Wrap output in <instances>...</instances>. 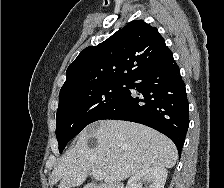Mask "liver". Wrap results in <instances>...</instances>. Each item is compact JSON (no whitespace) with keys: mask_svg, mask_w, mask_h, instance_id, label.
I'll list each match as a JSON object with an SVG mask.
<instances>
[{"mask_svg":"<svg viewBox=\"0 0 224 188\" xmlns=\"http://www.w3.org/2000/svg\"><path fill=\"white\" fill-rule=\"evenodd\" d=\"M97 140L89 147L90 138ZM178 158L174 143L165 135L137 123L104 120L89 125L76 145L52 171L51 184L59 188L82 185L92 169L102 170L107 188H114L136 172L152 166L172 168Z\"/></svg>","mask_w":224,"mask_h":188,"instance_id":"1","label":"liver"}]
</instances>
